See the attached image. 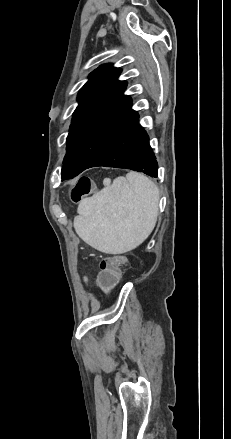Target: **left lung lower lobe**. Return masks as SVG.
Wrapping results in <instances>:
<instances>
[{"instance_id": "1", "label": "left lung lower lobe", "mask_w": 231, "mask_h": 439, "mask_svg": "<svg viewBox=\"0 0 231 439\" xmlns=\"http://www.w3.org/2000/svg\"><path fill=\"white\" fill-rule=\"evenodd\" d=\"M138 118V113L130 110L85 169L96 166L127 168L157 177V161Z\"/></svg>"}]
</instances>
